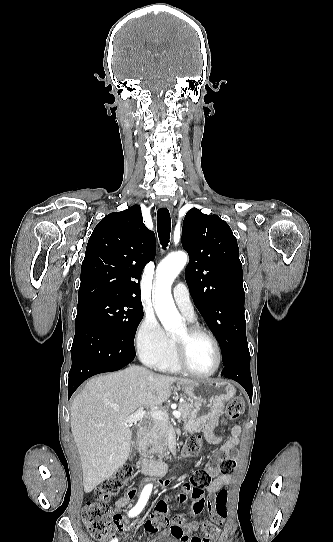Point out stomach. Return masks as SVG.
<instances>
[{"label": "stomach", "mask_w": 333, "mask_h": 542, "mask_svg": "<svg viewBox=\"0 0 333 542\" xmlns=\"http://www.w3.org/2000/svg\"><path fill=\"white\" fill-rule=\"evenodd\" d=\"M177 386L193 406L191 418L184 426V430H189V435L200 430L209 420L219 418L225 402H229L236 394L235 386L228 380H198L194 386Z\"/></svg>", "instance_id": "stomach-1"}]
</instances>
